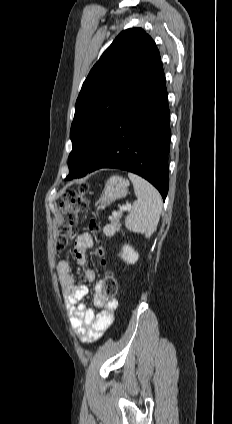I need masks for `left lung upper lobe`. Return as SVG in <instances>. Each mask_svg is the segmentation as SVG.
<instances>
[{
	"label": "left lung upper lobe",
	"mask_w": 232,
	"mask_h": 424,
	"mask_svg": "<svg viewBox=\"0 0 232 424\" xmlns=\"http://www.w3.org/2000/svg\"><path fill=\"white\" fill-rule=\"evenodd\" d=\"M160 62L154 41L141 28L122 31L102 54L76 101L67 180L87 174L110 127Z\"/></svg>",
	"instance_id": "obj_1"
}]
</instances>
